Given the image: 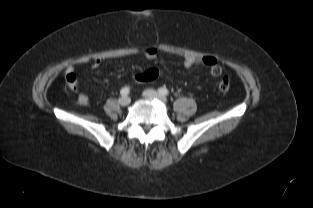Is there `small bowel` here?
<instances>
[{"mask_svg":"<svg viewBox=\"0 0 313 208\" xmlns=\"http://www.w3.org/2000/svg\"><path fill=\"white\" fill-rule=\"evenodd\" d=\"M143 55L146 59L152 60L157 56V49L154 47H147L143 50ZM101 62L102 61L99 58H91L88 56L79 58L78 60H76L73 64H71L67 68V76H66L67 81H68V77H70V76H74L77 80V76L74 73L76 65H85L86 64V65H90L92 68H97L100 66ZM183 63H184V66L187 68H190V67L194 66L195 64L201 63V64L207 66L209 69L213 65L218 64L216 58L213 56H205L202 58L187 56L184 58ZM76 87L71 88V89L76 90ZM77 102L82 106H88L90 103V100L86 94L79 93L77 96Z\"/></svg>","mask_w":313,"mask_h":208,"instance_id":"c3829d8e","label":"small bowel"}]
</instances>
